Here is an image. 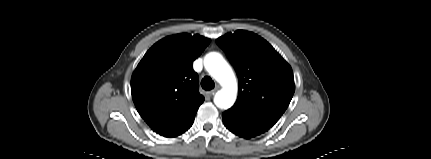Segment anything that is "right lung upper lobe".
I'll list each match as a JSON object with an SVG mask.
<instances>
[{"mask_svg":"<svg viewBox=\"0 0 431 159\" xmlns=\"http://www.w3.org/2000/svg\"><path fill=\"white\" fill-rule=\"evenodd\" d=\"M210 39L187 33L163 38L144 55L131 78L134 104L156 133L175 137L193 124L204 97L193 61Z\"/></svg>","mask_w":431,"mask_h":159,"instance_id":"obj_1","label":"right lung upper lobe"}]
</instances>
